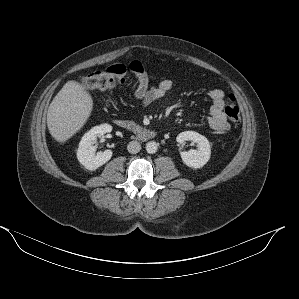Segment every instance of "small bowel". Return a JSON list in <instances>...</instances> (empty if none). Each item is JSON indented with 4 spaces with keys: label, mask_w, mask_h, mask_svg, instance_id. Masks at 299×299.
<instances>
[{
    "label": "small bowel",
    "mask_w": 299,
    "mask_h": 299,
    "mask_svg": "<svg viewBox=\"0 0 299 299\" xmlns=\"http://www.w3.org/2000/svg\"><path fill=\"white\" fill-rule=\"evenodd\" d=\"M137 79V87L134 91V99L141 105L146 106L163 98L172 88L170 80H162L155 85H150L149 78L139 61H132L129 66ZM211 99L210 115L208 123L210 128L217 132H226L230 125L224 114L225 93L221 89H213L209 93Z\"/></svg>",
    "instance_id": "small-bowel-1"
}]
</instances>
